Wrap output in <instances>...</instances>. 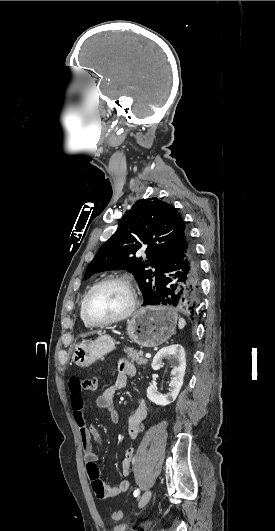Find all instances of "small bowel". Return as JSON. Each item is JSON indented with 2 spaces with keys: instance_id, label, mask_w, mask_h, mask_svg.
Segmentation results:
<instances>
[{
  "instance_id": "obj_1",
  "label": "small bowel",
  "mask_w": 275,
  "mask_h": 531,
  "mask_svg": "<svg viewBox=\"0 0 275 531\" xmlns=\"http://www.w3.org/2000/svg\"><path fill=\"white\" fill-rule=\"evenodd\" d=\"M118 373L114 382L106 387L97 397L96 405L98 408L106 410L109 414L110 420L113 423H118L120 415L114 407L115 394L125 388L128 383V378L136 374V368L133 363L126 359H119L117 361ZM83 377L81 373H70L68 375V392L70 394H80L82 392L81 382ZM70 404L72 408L73 418L78 427L81 445L83 448L84 460L86 463V472L91 482V487L100 500H112L121 494L125 493L130 486L127 479L121 480L116 485H107L100 478V470L97 465L98 453L93 449V443L99 444L100 440L95 428L86 421L84 402L80 395L70 396ZM148 415V406L145 400H140L134 413L128 422V434L131 438H138L142 435L145 422ZM135 457V450L127 448L121 460V472L123 476H128L131 472V465Z\"/></svg>"
}]
</instances>
